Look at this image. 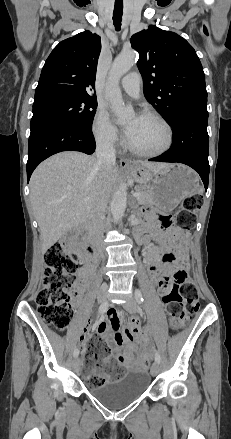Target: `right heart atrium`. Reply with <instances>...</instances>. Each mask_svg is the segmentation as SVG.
Segmentation results:
<instances>
[{
	"label": "right heart atrium",
	"instance_id": "obj_1",
	"mask_svg": "<svg viewBox=\"0 0 231 439\" xmlns=\"http://www.w3.org/2000/svg\"><path fill=\"white\" fill-rule=\"evenodd\" d=\"M92 132L96 142L105 148H116L120 142L117 128L110 121L107 112L99 108L96 111Z\"/></svg>",
	"mask_w": 231,
	"mask_h": 439
}]
</instances>
